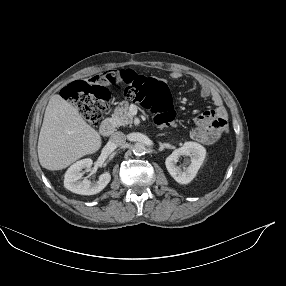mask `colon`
I'll return each instance as SVG.
<instances>
[{
  "label": "colon",
  "mask_w": 286,
  "mask_h": 286,
  "mask_svg": "<svg viewBox=\"0 0 286 286\" xmlns=\"http://www.w3.org/2000/svg\"><path fill=\"white\" fill-rule=\"evenodd\" d=\"M119 81L124 84V95L129 98L141 96L143 104L157 113V121L169 123L174 119L175 111L167 85L131 70L120 73L107 72L91 82L74 81L64 89L63 97L66 101L77 105L90 124L97 126L111 100L106 86L117 84ZM189 132L199 142L217 144L225 138L227 126L218 115L207 113L191 121Z\"/></svg>",
  "instance_id": "5ec220e1"
}]
</instances>
